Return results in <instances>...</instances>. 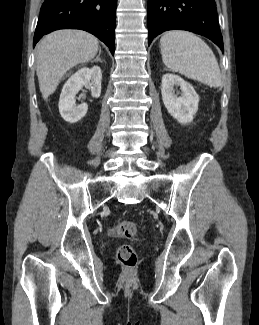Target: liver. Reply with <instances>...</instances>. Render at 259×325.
Returning <instances> with one entry per match:
<instances>
[{
  "instance_id": "liver-1",
  "label": "liver",
  "mask_w": 259,
  "mask_h": 325,
  "mask_svg": "<svg viewBox=\"0 0 259 325\" xmlns=\"http://www.w3.org/2000/svg\"><path fill=\"white\" fill-rule=\"evenodd\" d=\"M98 48V40L81 30H58L45 36L36 47V73L44 100L69 69L92 60Z\"/></svg>"
}]
</instances>
